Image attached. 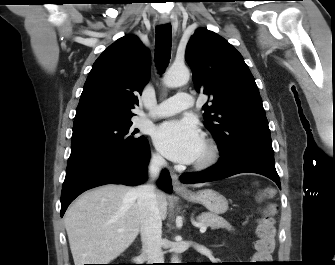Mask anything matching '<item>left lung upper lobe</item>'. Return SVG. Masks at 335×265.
<instances>
[{"mask_svg":"<svg viewBox=\"0 0 335 265\" xmlns=\"http://www.w3.org/2000/svg\"><path fill=\"white\" fill-rule=\"evenodd\" d=\"M185 57L196 91L210 97L202 107L204 124L220 155L242 148L273 155L259 90L242 55L218 34L198 29L189 40Z\"/></svg>","mask_w":335,"mask_h":265,"instance_id":"left-lung-upper-lobe-1","label":"left lung upper lobe"}]
</instances>
